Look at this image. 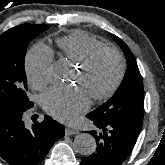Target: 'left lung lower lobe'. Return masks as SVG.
Segmentation results:
<instances>
[{
  "instance_id": "0a47b994",
  "label": "left lung lower lobe",
  "mask_w": 165,
  "mask_h": 165,
  "mask_svg": "<svg viewBox=\"0 0 165 165\" xmlns=\"http://www.w3.org/2000/svg\"><path fill=\"white\" fill-rule=\"evenodd\" d=\"M88 118L97 128L90 131L96 139L97 148L95 153L82 158L81 165H121L132 151L141 128Z\"/></svg>"
}]
</instances>
